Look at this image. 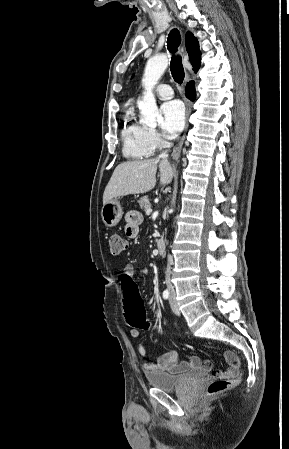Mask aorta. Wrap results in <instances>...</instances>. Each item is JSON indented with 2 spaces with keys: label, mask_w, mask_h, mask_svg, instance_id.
<instances>
[{
  "label": "aorta",
  "mask_w": 289,
  "mask_h": 449,
  "mask_svg": "<svg viewBox=\"0 0 289 449\" xmlns=\"http://www.w3.org/2000/svg\"><path fill=\"white\" fill-rule=\"evenodd\" d=\"M168 66V57L165 54L148 59L142 84L144 87L143 98L138 102L141 111L140 121L147 126H156L159 116L158 107L153 94V88L163 75Z\"/></svg>",
  "instance_id": "762f6f07"
}]
</instances>
